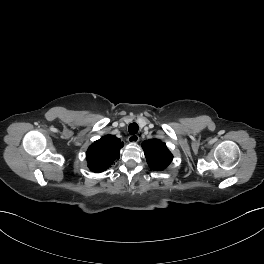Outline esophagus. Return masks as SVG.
Returning a JSON list of instances; mask_svg holds the SVG:
<instances>
[{
    "label": "esophagus",
    "mask_w": 264,
    "mask_h": 264,
    "mask_svg": "<svg viewBox=\"0 0 264 264\" xmlns=\"http://www.w3.org/2000/svg\"><path fill=\"white\" fill-rule=\"evenodd\" d=\"M139 136L137 134L130 135L128 137V142L129 143H137L139 141Z\"/></svg>",
    "instance_id": "esophagus-1"
}]
</instances>
